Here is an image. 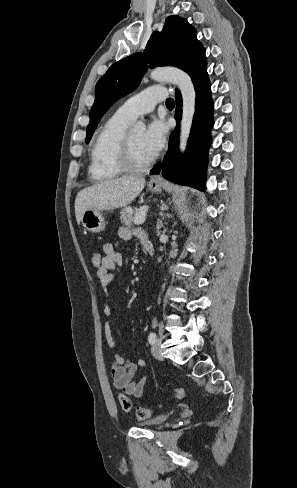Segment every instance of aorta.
Returning a JSON list of instances; mask_svg holds the SVG:
<instances>
[{"instance_id": "aorta-1", "label": "aorta", "mask_w": 297, "mask_h": 488, "mask_svg": "<svg viewBox=\"0 0 297 488\" xmlns=\"http://www.w3.org/2000/svg\"><path fill=\"white\" fill-rule=\"evenodd\" d=\"M150 77L156 81H168L178 86L182 95V119L180 127L179 148L183 153L187 146V141L190 135V129L192 126L196 92L191 78L184 71L176 68H155L151 71ZM145 128V124L142 121H138L134 125L135 130Z\"/></svg>"}]
</instances>
